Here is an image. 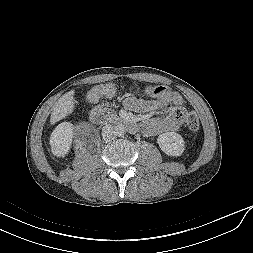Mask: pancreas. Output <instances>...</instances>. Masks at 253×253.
Here are the masks:
<instances>
[{
    "label": "pancreas",
    "instance_id": "pancreas-1",
    "mask_svg": "<svg viewBox=\"0 0 253 253\" xmlns=\"http://www.w3.org/2000/svg\"><path fill=\"white\" fill-rule=\"evenodd\" d=\"M117 120V115L114 111H109L108 114L106 115V121L107 122H114Z\"/></svg>",
    "mask_w": 253,
    "mask_h": 253
}]
</instances>
